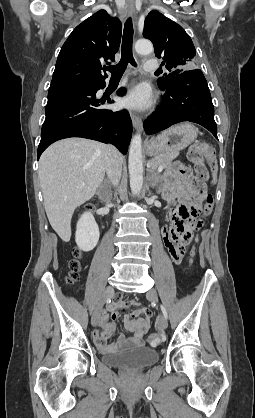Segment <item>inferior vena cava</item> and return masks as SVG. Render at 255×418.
Instances as JSON below:
<instances>
[{"label":"inferior vena cava","mask_w":255,"mask_h":418,"mask_svg":"<svg viewBox=\"0 0 255 418\" xmlns=\"http://www.w3.org/2000/svg\"><path fill=\"white\" fill-rule=\"evenodd\" d=\"M105 169L109 181L117 186L119 184L121 173H122V161L120 158V153L118 150L112 146H107L106 156H105Z\"/></svg>","instance_id":"1"}]
</instances>
